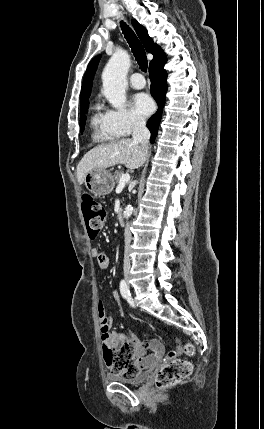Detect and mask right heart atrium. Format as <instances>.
I'll list each match as a JSON object with an SVG mask.
<instances>
[{"instance_id":"d8ad5b80","label":"right heart atrium","mask_w":264,"mask_h":429,"mask_svg":"<svg viewBox=\"0 0 264 429\" xmlns=\"http://www.w3.org/2000/svg\"><path fill=\"white\" fill-rule=\"evenodd\" d=\"M105 113L111 128L119 137L128 136L144 126V120L127 108L108 109Z\"/></svg>"}]
</instances>
